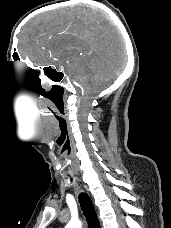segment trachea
I'll return each mask as SVG.
<instances>
[{
	"label": "trachea",
	"mask_w": 171,
	"mask_h": 228,
	"mask_svg": "<svg viewBox=\"0 0 171 228\" xmlns=\"http://www.w3.org/2000/svg\"><path fill=\"white\" fill-rule=\"evenodd\" d=\"M79 203L89 228H99V221L89 196L85 193H81L79 195Z\"/></svg>",
	"instance_id": "3493384b"
}]
</instances>
